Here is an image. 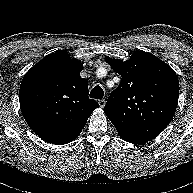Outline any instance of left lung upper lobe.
Instances as JSON below:
<instances>
[{
    "mask_svg": "<svg viewBox=\"0 0 193 193\" xmlns=\"http://www.w3.org/2000/svg\"><path fill=\"white\" fill-rule=\"evenodd\" d=\"M106 61L121 75L104 112L120 136L156 137L177 108L179 81L175 71L155 55L138 51L127 61Z\"/></svg>",
    "mask_w": 193,
    "mask_h": 193,
    "instance_id": "5c2ea615",
    "label": "left lung upper lobe"
}]
</instances>
